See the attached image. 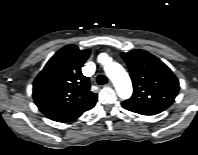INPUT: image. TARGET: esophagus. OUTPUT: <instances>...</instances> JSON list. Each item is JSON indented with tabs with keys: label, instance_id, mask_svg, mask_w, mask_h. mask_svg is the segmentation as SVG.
<instances>
[{
	"label": "esophagus",
	"instance_id": "1",
	"mask_svg": "<svg viewBox=\"0 0 198 155\" xmlns=\"http://www.w3.org/2000/svg\"><path fill=\"white\" fill-rule=\"evenodd\" d=\"M107 85H108L109 87H112V86H113V82H112V81H109Z\"/></svg>",
	"mask_w": 198,
	"mask_h": 155
}]
</instances>
